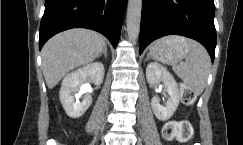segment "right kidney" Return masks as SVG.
<instances>
[{
    "label": "right kidney",
    "instance_id": "ca27d5eb",
    "mask_svg": "<svg viewBox=\"0 0 243 145\" xmlns=\"http://www.w3.org/2000/svg\"><path fill=\"white\" fill-rule=\"evenodd\" d=\"M104 65L94 62L69 73L62 81L59 92L60 101L67 115L71 118L81 117L92 103L90 94H85L79 101V94L87 87L86 82L100 85L104 78Z\"/></svg>",
    "mask_w": 243,
    "mask_h": 145
}]
</instances>
